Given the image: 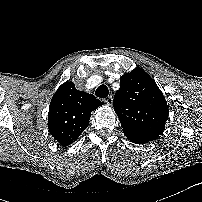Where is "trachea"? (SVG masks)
Here are the masks:
<instances>
[{
	"mask_svg": "<svg viewBox=\"0 0 202 202\" xmlns=\"http://www.w3.org/2000/svg\"><path fill=\"white\" fill-rule=\"evenodd\" d=\"M95 95L100 98H106L109 95V89L106 85H100L96 91Z\"/></svg>",
	"mask_w": 202,
	"mask_h": 202,
	"instance_id": "1",
	"label": "trachea"
}]
</instances>
